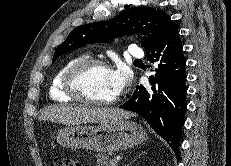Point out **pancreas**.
<instances>
[{
  "label": "pancreas",
  "instance_id": "obj_1",
  "mask_svg": "<svg viewBox=\"0 0 231 166\" xmlns=\"http://www.w3.org/2000/svg\"><path fill=\"white\" fill-rule=\"evenodd\" d=\"M97 166H117V163L113 160H109L108 155L97 154Z\"/></svg>",
  "mask_w": 231,
  "mask_h": 166
}]
</instances>
